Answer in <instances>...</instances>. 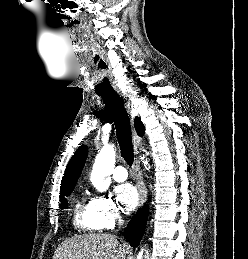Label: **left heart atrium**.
Instances as JSON below:
<instances>
[{
	"mask_svg": "<svg viewBox=\"0 0 248 259\" xmlns=\"http://www.w3.org/2000/svg\"><path fill=\"white\" fill-rule=\"evenodd\" d=\"M116 199L126 212L132 211L138 203V192L136 188L129 183H124L115 189Z\"/></svg>",
	"mask_w": 248,
	"mask_h": 259,
	"instance_id": "1",
	"label": "left heart atrium"
}]
</instances>
